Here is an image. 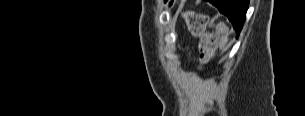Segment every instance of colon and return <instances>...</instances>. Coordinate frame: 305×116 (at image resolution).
I'll return each mask as SVG.
<instances>
[{"instance_id": "obj_1", "label": "colon", "mask_w": 305, "mask_h": 116, "mask_svg": "<svg viewBox=\"0 0 305 116\" xmlns=\"http://www.w3.org/2000/svg\"><path fill=\"white\" fill-rule=\"evenodd\" d=\"M183 19L190 33L198 39V52L201 64H206L213 57L218 35L216 32H207V17L194 11L183 13Z\"/></svg>"}]
</instances>
